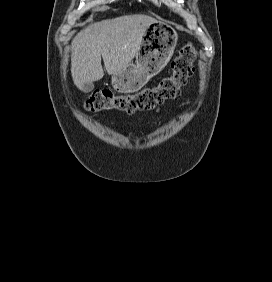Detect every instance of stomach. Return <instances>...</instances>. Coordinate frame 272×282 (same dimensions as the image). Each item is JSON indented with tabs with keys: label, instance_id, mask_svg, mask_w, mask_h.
I'll return each mask as SVG.
<instances>
[{
	"label": "stomach",
	"instance_id": "stomach-1",
	"mask_svg": "<svg viewBox=\"0 0 272 282\" xmlns=\"http://www.w3.org/2000/svg\"><path fill=\"white\" fill-rule=\"evenodd\" d=\"M177 41L178 34L169 25L160 22L149 25L136 53L135 64H128L112 75L113 88L120 93L140 90L168 64Z\"/></svg>",
	"mask_w": 272,
	"mask_h": 282
}]
</instances>
